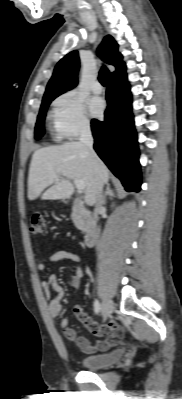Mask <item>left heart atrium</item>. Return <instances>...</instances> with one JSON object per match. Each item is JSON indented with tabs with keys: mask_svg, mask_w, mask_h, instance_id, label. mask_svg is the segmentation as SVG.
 <instances>
[{
	"mask_svg": "<svg viewBox=\"0 0 182 399\" xmlns=\"http://www.w3.org/2000/svg\"><path fill=\"white\" fill-rule=\"evenodd\" d=\"M88 107L91 115L97 117L103 112L104 103L101 98L94 97L88 101Z\"/></svg>",
	"mask_w": 182,
	"mask_h": 399,
	"instance_id": "obj_1",
	"label": "left heart atrium"
}]
</instances>
